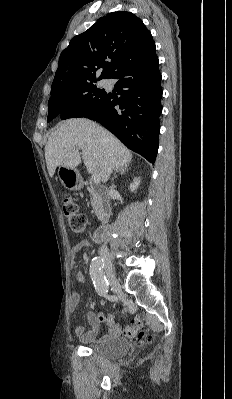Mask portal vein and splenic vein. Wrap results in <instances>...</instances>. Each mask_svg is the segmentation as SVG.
Masks as SVG:
<instances>
[{"label": "portal vein and splenic vein", "mask_w": 232, "mask_h": 399, "mask_svg": "<svg viewBox=\"0 0 232 399\" xmlns=\"http://www.w3.org/2000/svg\"><path fill=\"white\" fill-rule=\"evenodd\" d=\"M91 180H93L94 184H100L101 176H98V174H92Z\"/></svg>", "instance_id": "1"}]
</instances>
